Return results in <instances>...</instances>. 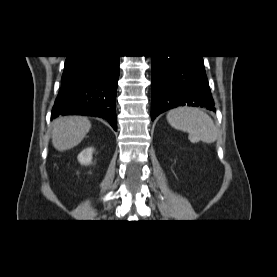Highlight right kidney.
Listing matches in <instances>:
<instances>
[{"mask_svg":"<svg viewBox=\"0 0 277 277\" xmlns=\"http://www.w3.org/2000/svg\"><path fill=\"white\" fill-rule=\"evenodd\" d=\"M94 148H86L84 149L79 155H78V161L82 165H89L92 160V155H93Z\"/></svg>","mask_w":277,"mask_h":277,"instance_id":"ca27d5eb","label":"right kidney"}]
</instances>
